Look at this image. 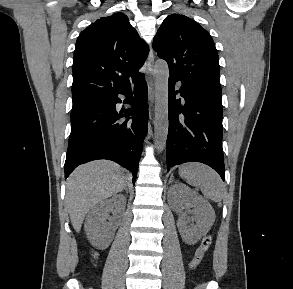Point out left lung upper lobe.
<instances>
[{"label": "left lung upper lobe", "mask_w": 293, "mask_h": 289, "mask_svg": "<svg viewBox=\"0 0 293 289\" xmlns=\"http://www.w3.org/2000/svg\"><path fill=\"white\" fill-rule=\"evenodd\" d=\"M153 49L169 66V74L221 91L219 57L210 34L180 14L168 16L153 40Z\"/></svg>", "instance_id": "obj_1"}]
</instances>
